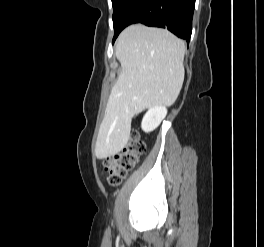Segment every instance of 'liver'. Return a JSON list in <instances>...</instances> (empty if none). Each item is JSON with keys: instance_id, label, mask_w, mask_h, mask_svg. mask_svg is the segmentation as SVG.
<instances>
[{"instance_id": "obj_1", "label": "liver", "mask_w": 264, "mask_h": 247, "mask_svg": "<svg viewBox=\"0 0 264 247\" xmlns=\"http://www.w3.org/2000/svg\"><path fill=\"white\" fill-rule=\"evenodd\" d=\"M184 53L185 43L168 30L135 24L122 31L115 49L122 71L99 128L98 159L114 156L126 146L134 116L176 101L184 81Z\"/></svg>"}]
</instances>
